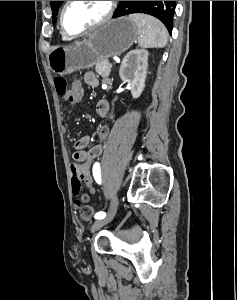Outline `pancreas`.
Listing matches in <instances>:
<instances>
[{
	"label": "pancreas",
	"mask_w": 237,
	"mask_h": 300,
	"mask_svg": "<svg viewBox=\"0 0 237 300\" xmlns=\"http://www.w3.org/2000/svg\"><path fill=\"white\" fill-rule=\"evenodd\" d=\"M107 63L108 61H103V63H96V73H98L100 77H108V75H110L112 67L110 69L106 68V65H108ZM110 65L112 66V63Z\"/></svg>",
	"instance_id": "pancreas-1"
}]
</instances>
